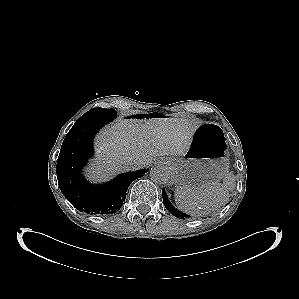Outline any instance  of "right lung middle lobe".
<instances>
[{"instance_id":"obj_1","label":"right lung middle lobe","mask_w":299,"mask_h":299,"mask_svg":"<svg viewBox=\"0 0 299 299\" xmlns=\"http://www.w3.org/2000/svg\"><path fill=\"white\" fill-rule=\"evenodd\" d=\"M115 117H117V112L114 109L93 108L82 115L77 122L93 119L112 120Z\"/></svg>"}]
</instances>
